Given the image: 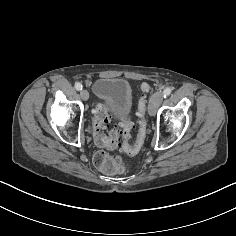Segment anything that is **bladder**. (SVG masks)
Masks as SVG:
<instances>
[{"mask_svg": "<svg viewBox=\"0 0 236 236\" xmlns=\"http://www.w3.org/2000/svg\"><path fill=\"white\" fill-rule=\"evenodd\" d=\"M95 94L114 112L127 113L133 98L129 83L121 78L102 77L93 86Z\"/></svg>", "mask_w": 236, "mask_h": 236, "instance_id": "1", "label": "bladder"}]
</instances>
